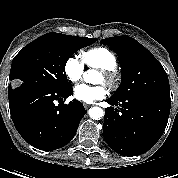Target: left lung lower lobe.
Masks as SVG:
<instances>
[{
  "instance_id": "1",
  "label": "left lung lower lobe",
  "mask_w": 178,
  "mask_h": 178,
  "mask_svg": "<svg viewBox=\"0 0 178 178\" xmlns=\"http://www.w3.org/2000/svg\"><path fill=\"white\" fill-rule=\"evenodd\" d=\"M106 101L121 107L105 110L103 133L112 150L124 156H137L157 143L166 128L171 103L146 95Z\"/></svg>"
}]
</instances>
